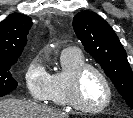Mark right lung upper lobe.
<instances>
[{
  "instance_id": "right-lung-upper-lobe-1",
  "label": "right lung upper lobe",
  "mask_w": 133,
  "mask_h": 118,
  "mask_svg": "<svg viewBox=\"0 0 133 118\" xmlns=\"http://www.w3.org/2000/svg\"><path fill=\"white\" fill-rule=\"evenodd\" d=\"M32 20L20 13L10 14L0 22V60H17L27 42Z\"/></svg>"
}]
</instances>
